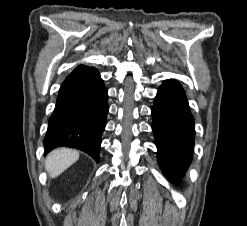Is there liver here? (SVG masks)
I'll use <instances>...</instances> for the list:
<instances>
[{"label":"liver","instance_id":"1","mask_svg":"<svg viewBox=\"0 0 247 226\" xmlns=\"http://www.w3.org/2000/svg\"><path fill=\"white\" fill-rule=\"evenodd\" d=\"M79 159V152L69 148H59L48 154L45 169L51 178H55Z\"/></svg>","mask_w":247,"mask_h":226}]
</instances>
